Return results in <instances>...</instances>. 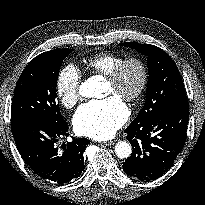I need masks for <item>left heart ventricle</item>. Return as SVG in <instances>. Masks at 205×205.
Returning a JSON list of instances; mask_svg holds the SVG:
<instances>
[{
	"mask_svg": "<svg viewBox=\"0 0 205 205\" xmlns=\"http://www.w3.org/2000/svg\"><path fill=\"white\" fill-rule=\"evenodd\" d=\"M139 80L140 72L138 67L136 65H129L117 90H114L107 82V95L114 94L120 98L124 94L132 93L137 88Z\"/></svg>",
	"mask_w": 205,
	"mask_h": 205,
	"instance_id": "left-heart-ventricle-1",
	"label": "left heart ventricle"
}]
</instances>
